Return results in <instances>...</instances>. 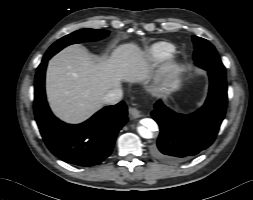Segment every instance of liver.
<instances>
[{
	"instance_id": "liver-1",
	"label": "liver",
	"mask_w": 253,
	"mask_h": 200,
	"mask_svg": "<svg viewBox=\"0 0 253 200\" xmlns=\"http://www.w3.org/2000/svg\"><path fill=\"white\" fill-rule=\"evenodd\" d=\"M145 52L135 42L117 47L110 58L94 61L79 45H71L48 63L46 93L53 113L68 123H80L104 105L103 97L122 82L149 77Z\"/></svg>"
}]
</instances>
